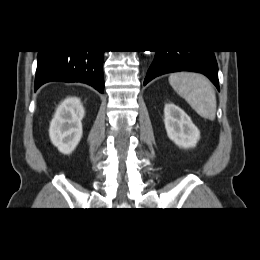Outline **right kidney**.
<instances>
[{"mask_svg":"<svg viewBox=\"0 0 260 260\" xmlns=\"http://www.w3.org/2000/svg\"><path fill=\"white\" fill-rule=\"evenodd\" d=\"M85 115L80 99L69 97L56 109L50 123L51 142L63 154H70L82 137V119Z\"/></svg>","mask_w":260,"mask_h":260,"instance_id":"ca27d5eb","label":"right kidney"}]
</instances>
